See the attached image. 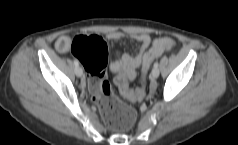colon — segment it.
I'll list each match as a JSON object with an SVG mask.
<instances>
[{"mask_svg": "<svg viewBox=\"0 0 238 145\" xmlns=\"http://www.w3.org/2000/svg\"><path fill=\"white\" fill-rule=\"evenodd\" d=\"M173 46V41L168 38L156 40L143 56V74L148 72L154 59ZM71 52L83 64L89 74V89L108 127L114 131H125L131 128L136 121V112L114 94L106 78L105 69L108 52L104 40L95 35L76 36L72 39ZM115 84L129 100L138 101L144 97L145 90L143 87L135 90L129 87L128 78L124 71H120L116 75Z\"/></svg>", "mask_w": 238, "mask_h": 145, "instance_id": "obj_1", "label": "colon"}]
</instances>
